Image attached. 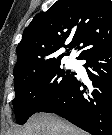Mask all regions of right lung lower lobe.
I'll list each match as a JSON object with an SVG mask.
<instances>
[{"mask_svg": "<svg viewBox=\"0 0 112 135\" xmlns=\"http://www.w3.org/2000/svg\"><path fill=\"white\" fill-rule=\"evenodd\" d=\"M81 59L92 85L74 77L38 112L55 113L92 135H112V45Z\"/></svg>", "mask_w": 112, "mask_h": 135, "instance_id": "right-lung-lower-lobe-1", "label": "right lung lower lobe"}]
</instances>
